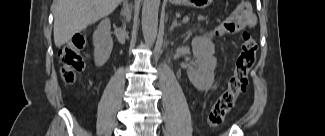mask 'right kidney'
<instances>
[{
	"instance_id": "right-kidney-1",
	"label": "right kidney",
	"mask_w": 325,
	"mask_h": 136,
	"mask_svg": "<svg viewBox=\"0 0 325 136\" xmlns=\"http://www.w3.org/2000/svg\"><path fill=\"white\" fill-rule=\"evenodd\" d=\"M110 29V20L105 18L99 23L97 30L93 34L94 61L98 67L103 66L107 62L112 52L113 40Z\"/></svg>"
}]
</instances>
